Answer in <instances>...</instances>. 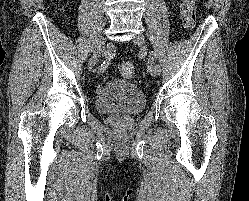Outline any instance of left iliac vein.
<instances>
[{
	"label": "left iliac vein",
	"mask_w": 249,
	"mask_h": 201,
	"mask_svg": "<svg viewBox=\"0 0 249 201\" xmlns=\"http://www.w3.org/2000/svg\"><path fill=\"white\" fill-rule=\"evenodd\" d=\"M134 43H136L138 46H140L144 52H146L147 48H146V40L144 35L139 34L134 38ZM148 69L150 74L153 77H156L159 73L157 71L156 65L154 64V62L152 60H150L148 62Z\"/></svg>",
	"instance_id": "obj_1"
}]
</instances>
